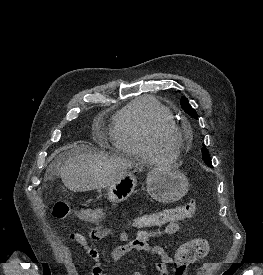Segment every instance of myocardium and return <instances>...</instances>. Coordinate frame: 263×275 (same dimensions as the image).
<instances>
[{"mask_svg":"<svg viewBox=\"0 0 263 275\" xmlns=\"http://www.w3.org/2000/svg\"><path fill=\"white\" fill-rule=\"evenodd\" d=\"M153 138L158 145L177 150L182 142V132L176 124H164L154 129Z\"/></svg>","mask_w":263,"mask_h":275,"instance_id":"myocardium-1","label":"myocardium"}]
</instances>
